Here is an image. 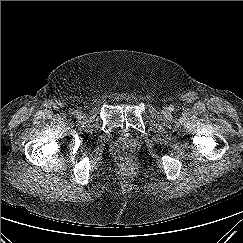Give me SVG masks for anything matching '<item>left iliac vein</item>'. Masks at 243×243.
Returning a JSON list of instances; mask_svg holds the SVG:
<instances>
[{
    "label": "left iliac vein",
    "instance_id": "1",
    "mask_svg": "<svg viewBox=\"0 0 243 243\" xmlns=\"http://www.w3.org/2000/svg\"><path fill=\"white\" fill-rule=\"evenodd\" d=\"M169 112H170V110H169V108L168 107H163V109H162V113L164 114V115H167V114H169Z\"/></svg>",
    "mask_w": 243,
    "mask_h": 243
}]
</instances>
